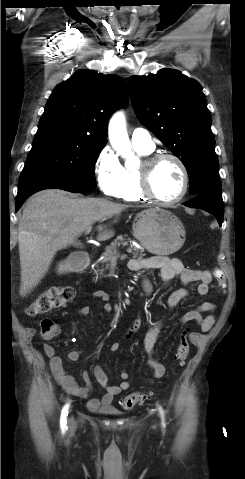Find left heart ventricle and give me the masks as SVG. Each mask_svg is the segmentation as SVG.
Listing matches in <instances>:
<instances>
[{"mask_svg":"<svg viewBox=\"0 0 245 479\" xmlns=\"http://www.w3.org/2000/svg\"><path fill=\"white\" fill-rule=\"evenodd\" d=\"M182 182L181 171L172 160L161 161L152 174V188L163 200L177 197L182 189Z\"/></svg>","mask_w":245,"mask_h":479,"instance_id":"b2bd125f","label":"left heart ventricle"}]
</instances>
